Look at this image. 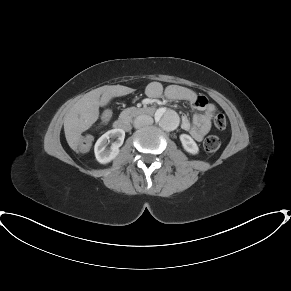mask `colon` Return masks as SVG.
Masks as SVG:
<instances>
[{"label":"colon","instance_id":"obj_1","mask_svg":"<svg viewBox=\"0 0 291 291\" xmlns=\"http://www.w3.org/2000/svg\"><path fill=\"white\" fill-rule=\"evenodd\" d=\"M112 113L111 110L108 108H105L101 112V121L103 123H107L111 119ZM214 125L218 129H224L226 126V118L223 114L218 113L214 117ZM220 139L217 136L210 135L206 137L204 140V148L208 152H215L220 147ZM79 151L83 154L88 152V143L86 141L82 142L79 146Z\"/></svg>","mask_w":291,"mask_h":291}]
</instances>
